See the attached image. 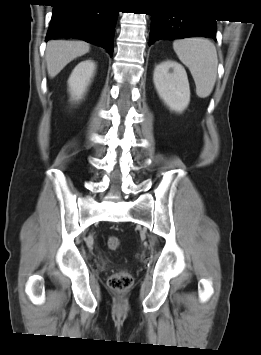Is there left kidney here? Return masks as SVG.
Returning <instances> with one entry per match:
<instances>
[{
	"label": "left kidney",
	"mask_w": 261,
	"mask_h": 355,
	"mask_svg": "<svg viewBox=\"0 0 261 355\" xmlns=\"http://www.w3.org/2000/svg\"><path fill=\"white\" fill-rule=\"evenodd\" d=\"M153 82L159 97L170 110L181 113L190 102V88L184 67L175 61L158 64L153 73Z\"/></svg>",
	"instance_id": "1"
}]
</instances>
